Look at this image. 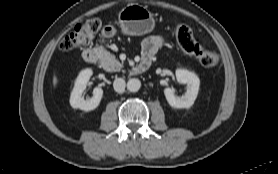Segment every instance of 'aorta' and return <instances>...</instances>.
I'll return each instance as SVG.
<instances>
[{"label": "aorta", "mask_w": 278, "mask_h": 174, "mask_svg": "<svg viewBox=\"0 0 278 174\" xmlns=\"http://www.w3.org/2000/svg\"><path fill=\"white\" fill-rule=\"evenodd\" d=\"M141 87V82L137 78L129 79L127 82V89L130 92H137Z\"/></svg>", "instance_id": "1"}]
</instances>
